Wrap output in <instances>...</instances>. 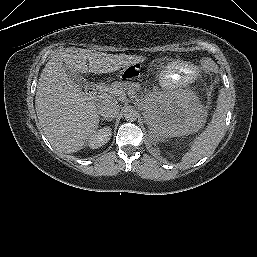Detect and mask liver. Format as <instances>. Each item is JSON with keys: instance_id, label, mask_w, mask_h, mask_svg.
<instances>
[{"instance_id": "6515ba94", "label": "liver", "mask_w": 257, "mask_h": 257, "mask_svg": "<svg viewBox=\"0 0 257 257\" xmlns=\"http://www.w3.org/2000/svg\"><path fill=\"white\" fill-rule=\"evenodd\" d=\"M140 61V56L86 49L66 48L53 54L40 74L35 99L39 123L52 146L66 154L78 152L99 127L96 106L67 76L65 66L79 73L102 74Z\"/></svg>"}]
</instances>
